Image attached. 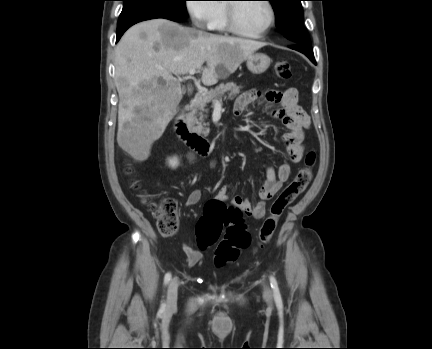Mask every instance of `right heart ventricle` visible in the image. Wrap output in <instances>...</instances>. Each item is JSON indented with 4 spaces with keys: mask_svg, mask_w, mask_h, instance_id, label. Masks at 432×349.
Returning <instances> with one entry per match:
<instances>
[{
    "mask_svg": "<svg viewBox=\"0 0 432 349\" xmlns=\"http://www.w3.org/2000/svg\"><path fill=\"white\" fill-rule=\"evenodd\" d=\"M217 12L215 17L212 20L210 28L219 31L225 32L227 31L226 24V4L225 3H217Z\"/></svg>",
    "mask_w": 432,
    "mask_h": 349,
    "instance_id": "obj_1",
    "label": "right heart ventricle"
}]
</instances>
